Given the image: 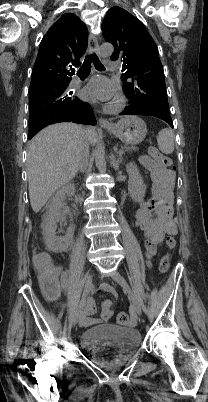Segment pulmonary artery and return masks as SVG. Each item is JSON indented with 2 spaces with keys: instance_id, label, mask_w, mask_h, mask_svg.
I'll use <instances>...</instances> for the list:
<instances>
[{
  "instance_id": "1",
  "label": "pulmonary artery",
  "mask_w": 208,
  "mask_h": 402,
  "mask_svg": "<svg viewBox=\"0 0 208 402\" xmlns=\"http://www.w3.org/2000/svg\"><path fill=\"white\" fill-rule=\"evenodd\" d=\"M107 69L111 72L116 71L118 69V61L117 60H111L106 62ZM78 73H81V70H78Z\"/></svg>"
}]
</instances>
